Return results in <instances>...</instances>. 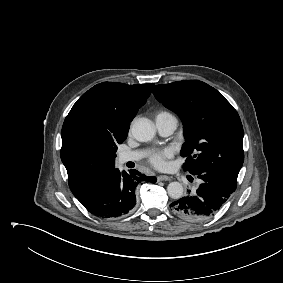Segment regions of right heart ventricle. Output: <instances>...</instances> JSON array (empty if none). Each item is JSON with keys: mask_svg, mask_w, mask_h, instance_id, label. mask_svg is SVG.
Listing matches in <instances>:
<instances>
[{"mask_svg": "<svg viewBox=\"0 0 283 283\" xmlns=\"http://www.w3.org/2000/svg\"><path fill=\"white\" fill-rule=\"evenodd\" d=\"M161 116H172V115L169 112H166V111H159L156 115V118L161 117Z\"/></svg>", "mask_w": 283, "mask_h": 283, "instance_id": "right-heart-ventricle-1", "label": "right heart ventricle"}]
</instances>
